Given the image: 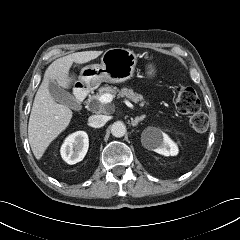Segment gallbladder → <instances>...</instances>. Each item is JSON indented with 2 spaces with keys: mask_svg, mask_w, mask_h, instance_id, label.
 Here are the masks:
<instances>
[{
  "mask_svg": "<svg viewBox=\"0 0 240 240\" xmlns=\"http://www.w3.org/2000/svg\"><path fill=\"white\" fill-rule=\"evenodd\" d=\"M51 97L71 109L78 110L80 105L78 101L66 90L61 88L54 80H51L48 85Z\"/></svg>",
  "mask_w": 240,
  "mask_h": 240,
  "instance_id": "1",
  "label": "gallbladder"
}]
</instances>
